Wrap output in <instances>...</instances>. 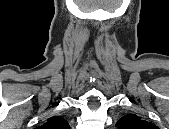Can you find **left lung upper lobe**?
Returning <instances> with one entry per match:
<instances>
[{
	"mask_svg": "<svg viewBox=\"0 0 169 129\" xmlns=\"http://www.w3.org/2000/svg\"><path fill=\"white\" fill-rule=\"evenodd\" d=\"M119 129H156L153 123L140 119L135 114L123 116L116 124Z\"/></svg>",
	"mask_w": 169,
	"mask_h": 129,
	"instance_id": "5c2ea615",
	"label": "left lung upper lobe"
}]
</instances>
